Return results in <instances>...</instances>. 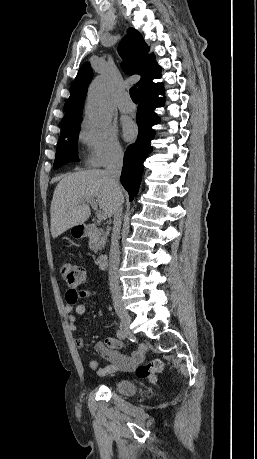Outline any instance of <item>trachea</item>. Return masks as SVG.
<instances>
[{"instance_id":"trachea-1","label":"trachea","mask_w":257,"mask_h":459,"mask_svg":"<svg viewBox=\"0 0 257 459\" xmlns=\"http://www.w3.org/2000/svg\"><path fill=\"white\" fill-rule=\"evenodd\" d=\"M130 97L133 101H139V94H138L137 87L134 86L130 89Z\"/></svg>"}]
</instances>
